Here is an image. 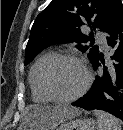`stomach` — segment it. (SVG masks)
<instances>
[{
  "mask_svg": "<svg viewBox=\"0 0 123 130\" xmlns=\"http://www.w3.org/2000/svg\"><path fill=\"white\" fill-rule=\"evenodd\" d=\"M96 122L93 119H75L61 123L51 130H95ZM29 130V129H23Z\"/></svg>",
  "mask_w": 123,
  "mask_h": 130,
  "instance_id": "obj_1",
  "label": "stomach"
}]
</instances>
